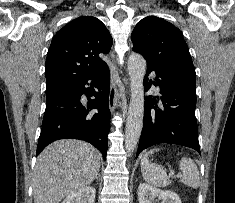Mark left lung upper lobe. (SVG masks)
Segmentation results:
<instances>
[{"instance_id": "obj_1", "label": "left lung upper lobe", "mask_w": 235, "mask_h": 203, "mask_svg": "<svg viewBox=\"0 0 235 203\" xmlns=\"http://www.w3.org/2000/svg\"><path fill=\"white\" fill-rule=\"evenodd\" d=\"M131 39L133 50L144 56L147 64L196 81L188 46L173 24L148 16L136 25Z\"/></svg>"}]
</instances>
